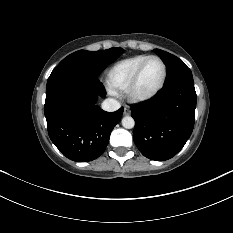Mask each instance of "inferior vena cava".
<instances>
[{
  "instance_id": "602c4592",
  "label": "inferior vena cava",
  "mask_w": 233,
  "mask_h": 233,
  "mask_svg": "<svg viewBox=\"0 0 233 233\" xmlns=\"http://www.w3.org/2000/svg\"><path fill=\"white\" fill-rule=\"evenodd\" d=\"M120 107V103L113 98L105 99L102 103V109L107 112H114L118 110Z\"/></svg>"
}]
</instances>
